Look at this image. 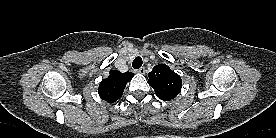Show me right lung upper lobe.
Listing matches in <instances>:
<instances>
[{"mask_svg":"<svg viewBox=\"0 0 276 138\" xmlns=\"http://www.w3.org/2000/svg\"><path fill=\"white\" fill-rule=\"evenodd\" d=\"M134 74L130 72L121 73L111 70L110 75L99 84V96L108 103H114L121 98L124 88Z\"/></svg>","mask_w":276,"mask_h":138,"instance_id":"right-lung-upper-lobe-1","label":"right lung upper lobe"}]
</instances>
